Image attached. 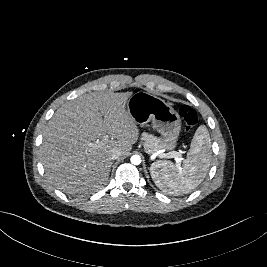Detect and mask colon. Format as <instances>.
Here are the masks:
<instances>
[{"mask_svg":"<svg viewBox=\"0 0 267 267\" xmlns=\"http://www.w3.org/2000/svg\"><path fill=\"white\" fill-rule=\"evenodd\" d=\"M179 114L183 118L187 130L192 129L198 121L196 111L187 105L179 107Z\"/></svg>","mask_w":267,"mask_h":267,"instance_id":"obj_1","label":"colon"}]
</instances>
